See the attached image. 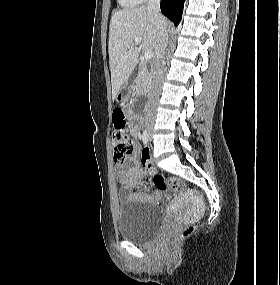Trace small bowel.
<instances>
[{"label": "small bowel", "mask_w": 280, "mask_h": 285, "mask_svg": "<svg viewBox=\"0 0 280 285\" xmlns=\"http://www.w3.org/2000/svg\"><path fill=\"white\" fill-rule=\"evenodd\" d=\"M129 131L133 137H138L140 135V128L137 125L131 126ZM135 146L136 148L127 155L123 163L116 162L118 170L117 180L122 186L119 194L120 199H140L162 205L166 199L159 190H156L151 194H146L141 190L146 187V184L141 182L144 173L154 174L156 168L151 159H146L144 161L138 159V143H136ZM126 163H129L130 166L127 167ZM134 189H136L135 192H133Z\"/></svg>", "instance_id": "c3829d8e"}]
</instances>
